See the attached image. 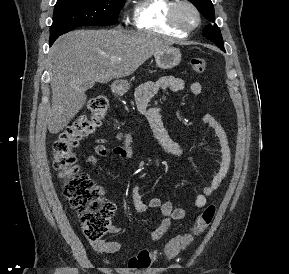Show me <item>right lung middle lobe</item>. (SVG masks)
<instances>
[{
  "label": "right lung middle lobe",
  "mask_w": 289,
  "mask_h": 274,
  "mask_svg": "<svg viewBox=\"0 0 289 274\" xmlns=\"http://www.w3.org/2000/svg\"><path fill=\"white\" fill-rule=\"evenodd\" d=\"M125 0H57L50 27V45L80 26L113 25Z\"/></svg>",
  "instance_id": "dd1d6c3e"
}]
</instances>
